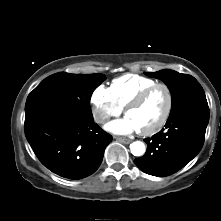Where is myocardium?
<instances>
[{
    "label": "myocardium",
    "mask_w": 221,
    "mask_h": 221,
    "mask_svg": "<svg viewBox=\"0 0 221 221\" xmlns=\"http://www.w3.org/2000/svg\"><path fill=\"white\" fill-rule=\"evenodd\" d=\"M157 88H163L167 93V107L164 112V115L162 116L161 120L153 127L146 129V130H140V134L144 136H151L156 133H158L162 128L166 125L168 122L172 109H173V93L171 88L162 82H157L146 89H144L142 92H140L136 97H134L125 107H124V113L125 115L128 114V112L141 105L149 96L150 94Z\"/></svg>",
    "instance_id": "obj_1"
}]
</instances>
